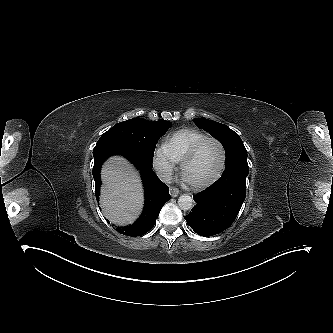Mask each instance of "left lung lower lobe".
<instances>
[{"label":"left lung lower lobe","mask_w":333,"mask_h":333,"mask_svg":"<svg viewBox=\"0 0 333 333\" xmlns=\"http://www.w3.org/2000/svg\"><path fill=\"white\" fill-rule=\"evenodd\" d=\"M193 197L197 204L184 217L187 224L201 236H213L227 229L236 219L246 197V182L219 179Z\"/></svg>","instance_id":"0a47b994"}]
</instances>
